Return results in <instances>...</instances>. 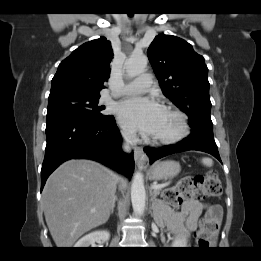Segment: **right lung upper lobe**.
Returning a JSON list of instances; mask_svg holds the SVG:
<instances>
[{"instance_id": "right-lung-upper-lobe-1", "label": "right lung upper lobe", "mask_w": 261, "mask_h": 261, "mask_svg": "<svg viewBox=\"0 0 261 261\" xmlns=\"http://www.w3.org/2000/svg\"><path fill=\"white\" fill-rule=\"evenodd\" d=\"M112 56L111 43L105 37L84 43L59 64L49 97L62 92L100 97Z\"/></svg>"}]
</instances>
